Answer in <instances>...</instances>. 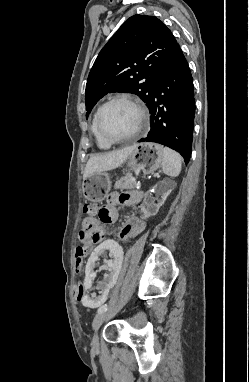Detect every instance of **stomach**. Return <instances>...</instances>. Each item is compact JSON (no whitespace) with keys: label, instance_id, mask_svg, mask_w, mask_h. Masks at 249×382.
Returning a JSON list of instances; mask_svg holds the SVG:
<instances>
[{"label":"stomach","instance_id":"1","mask_svg":"<svg viewBox=\"0 0 249 382\" xmlns=\"http://www.w3.org/2000/svg\"><path fill=\"white\" fill-rule=\"evenodd\" d=\"M163 161L162 146L155 143H140L134 145L128 157V167L132 170L151 174ZM111 188L110 177L103 172L90 174L83 182L84 197L92 202H101Z\"/></svg>","mask_w":249,"mask_h":382}]
</instances>
